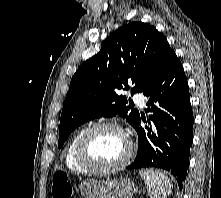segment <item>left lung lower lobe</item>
Returning <instances> with one entry per match:
<instances>
[{"label":"left lung lower lobe","mask_w":221,"mask_h":198,"mask_svg":"<svg viewBox=\"0 0 221 198\" xmlns=\"http://www.w3.org/2000/svg\"><path fill=\"white\" fill-rule=\"evenodd\" d=\"M143 94L149 97L146 111L152 113L149 116L152 123L144 120L147 125L145 129L142 128L140 116L135 123L139 151L127 168L165 169L177 178L181 190L189 164L193 112L188 82L175 52L169 56L161 74Z\"/></svg>","instance_id":"1"}]
</instances>
